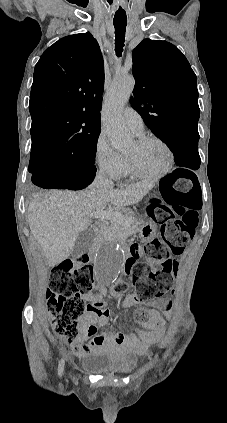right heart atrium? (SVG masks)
Returning a JSON list of instances; mask_svg holds the SVG:
<instances>
[{"label":"right heart atrium","instance_id":"obj_1","mask_svg":"<svg viewBox=\"0 0 227 423\" xmlns=\"http://www.w3.org/2000/svg\"><path fill=\"white\" fill-rule=\"evenodd\" d=\"M94 160L98 168L113 179L122 178L127 172L125 156L112 148L103 131L95 140Z\"/></svg>","mask_w":227,"mask_h":423}]
</instances>
